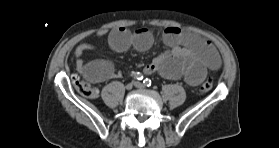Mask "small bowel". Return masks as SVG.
<instances>
[{
    "mask_svg": "<svg viewBox=\"0 0 279 148\" xmlns=\"http://www.w3.org/2000/svg\"><path fill=\"white\" fill-rule=\"evenodd\" d=\"M163 41L169 49L144 67L145 74L158 72L167 79L183 78L189 85L196 86L204 80L208 70H217L221 66L220 56L212 43L192 31L167 27ZM108 42L116 52H124L131 47L144 52L151 47L153 36L145 27L134 31L121 27L108 34ZM91 49L89 44H81L76 49V66L85 79L100 83L120 76L108 60L85 62L82 56Z\"/></svg>",
    "mask_w": 279,
    "mask_h": 148,
    "instance_id": "small-bowel-1",
    "label": "small bowel"
}]
</instances>
